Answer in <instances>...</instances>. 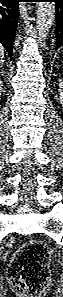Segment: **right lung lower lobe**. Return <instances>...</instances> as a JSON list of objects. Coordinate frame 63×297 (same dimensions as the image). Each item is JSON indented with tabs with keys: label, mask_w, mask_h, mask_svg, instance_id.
<instances>
[{
	"label": "right lung lower lobe",
	"mask_w": 63,
	"mask_h": 297,
	"mask_svg": "<svg viewBox=\"0 0 63 297\" xmlns=\"http://www.w3.org/2000/svg\"><path fill=\"white\" fill-rule=\"evenodd\" d=\"M0 43L12 58L20 0H0Z\"/></svg>",
	"instance_id": "obj_1"
}]
</instances>
